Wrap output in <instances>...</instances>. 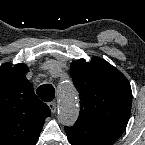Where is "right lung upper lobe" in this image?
<instances>
[{
    "label": "right lung upper lobe",
    "instance_id": "1",
    "mask_svg": "<svg viewBox=\"0 0 145 145\" xmlns=\"http://www.w3.org/2000/svg\"><path fill=\"white\" fill-rule=\"evenodd\" d=\"M25 64L0 66V145H35L50 108L34 93Z\"/></svg>",
    "mask_w": 145,
    "mask_h": 145
}]
</instances>
